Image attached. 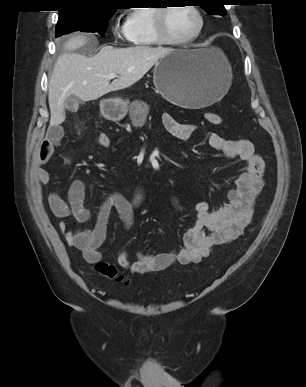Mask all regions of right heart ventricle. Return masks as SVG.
<instances>
[{
    "mask_svg": "<svg viewBox=\"0 0 306 387\" xmlns=\"http://www.w3.org/2000/svg\"><path fill=\"white\" fill-rule=\"evenodd\" d=\"M154 8L139 7L133 9L125 21L126 38L137 47H153L160 43L153 31Z\"/></svg>",
    "mask_w": 306,
    "mask_h": 387,
    "instance_id": "1",
    "label": "right heart ventricle"
}]
</instances>
